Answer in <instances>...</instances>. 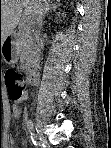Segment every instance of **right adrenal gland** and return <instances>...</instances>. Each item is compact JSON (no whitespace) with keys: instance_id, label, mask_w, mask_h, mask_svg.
<instances>
[{"instance_id":"obj_1","label":"right adrenal gland","mask_w":111,"mask_h":148,"mask_svg":"<svg viewBox=\"0 0 111 148\" xmlns=\"http://www.w3.org/2000/svg\"><path fill=\"white\" fill-rule=\"evenodd\" d=\"M58 2H59V0H58ZM58 6H59V5H58ZM58 6L56 5V3L50 4V6H48V7L46 8V10H45V12H44V15H43V18H45V16H46L49 12H51L52 10L55 11Z\"/></svg>"}]
</instances>
